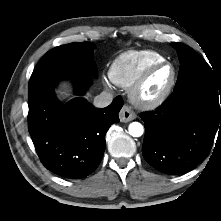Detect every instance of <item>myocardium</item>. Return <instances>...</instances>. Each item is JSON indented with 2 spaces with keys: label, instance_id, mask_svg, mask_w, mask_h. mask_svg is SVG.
<instances>
[{
  "label": "myocardium",
  "instance_id": "obj_1",
  "mask_svg": "<svg viewBox=\"0 0 221 221\" xmlns=\"http://www.w3.org/2000/svg\"><path fill=\"white\" fill-rule=\"evenodd\" d=\"M171 68V78L166 87L153 98H144L143 89L151 75L161 67ZM177 80V70L173 63L167 60L156 62L148 66L130 88L129 96L133 104L145 110H150L162 105L170 96Z\"/></svg>",
  "mask_w": 221,
  "mask_h": 221
}]
</instances>
